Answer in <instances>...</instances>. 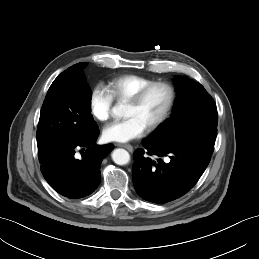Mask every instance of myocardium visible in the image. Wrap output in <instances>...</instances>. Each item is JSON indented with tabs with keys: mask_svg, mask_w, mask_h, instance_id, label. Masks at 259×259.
<instances>
[{
	"mask_svg": "<svg viewBox=\"0 0 259 259\" xmlns=\"http://www.w3.org/2000/svg\"><path fill=\"white\" fill-rule=\"evenodd\" d=\"M156 87H162L167 92V102L159 117L153 121L150 125L147 126L148 131H153L160 127L165 120L168 118L176 99V91L175 88L166 81H156L152 82L149 85L145 86L137 93H135L131 98H129L126 102L132 106H138L142 103L147 94Z\"/></svg>",
	"mask_w": 259,
	"mask_h": 259,
	"instance_id": "f54148a6",
	"label": "myocardium"
}]
</instances>
